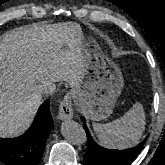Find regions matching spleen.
I'll return each instance as SVG.
<instances>
[{"instance_id":"obj_1","label":"spleen","mask_w":165,"mask_h":165,"mask_svg":"<svg viewBox=\"0 0 165 165\" xmlns=\"http://www.w3.org/2000/svg\"><path fill=\"white\" fill-rule=\"evenodd\" d=\"M100 143L109 148L125 149L138 143L145 129V113L136 103L122 117L106 123L93 124Z\"/></svg>"}]
</instances>
